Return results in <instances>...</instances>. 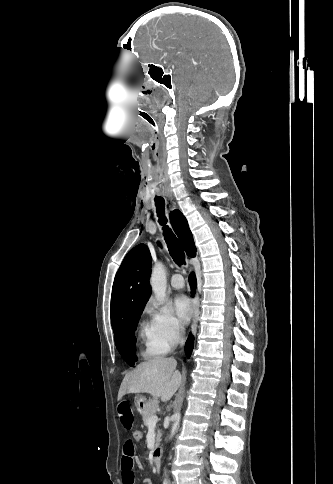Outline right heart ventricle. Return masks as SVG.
Segmentation results:
<instances>
[{"label":"right heart ventricle","mask_w":333,"mask_h":484,"mask_svg":"<svg viewBox=\"0 0 333 484\" xmlns=\"http://www.w3.org/2000/svg\"><path fill=\"white\" fill-rule=\"evenodd\" d=\"M139 336L143 344V354L145 357H156L164 354L157 344L155 333L151 324L142 322L139 328Z\"/></svg>","instance_id":"e07e8e85"}]
</instances>
